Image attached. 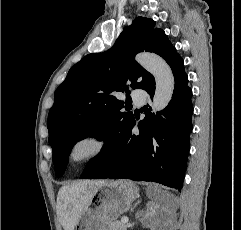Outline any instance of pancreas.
Segmentation results:
<instances>
[{
  "label": "pancreas",
  "instance_id": "cf45deb5",
  "mask_svg": "<svg viewBox=\"0 0 241 230\" xmlns=\"http://www.w3.org/2000/svg\"><path fill=\"white\" fill-rule=\"evenodd\" d=\"M110 226L111 230H127V225L120 221H114Z\"/></svg>",
  "mask_w": 241,
  "mask_h": 230
}]
</instances>
